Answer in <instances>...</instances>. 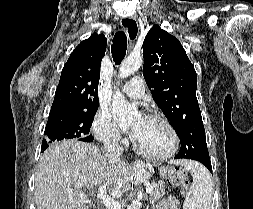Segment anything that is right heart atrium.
<instances>
[{
    "label": "right heart atrium",
    "instance_id": "d8ad5b80",
    "mask_svg": "<svg viewBox=\"0 0 253 209\" xmlns=\"http://www.w3.org/2000/svg\"><path fill=\"white\" fill-rule=\"evenodd\" d=\"M92 130L96 139L105 144H118L123 140L111 116L104 110H99L95 115Z\"/></svg>",
    "mask_w": 253,
    "mask_h": 209
}]
</instances>
